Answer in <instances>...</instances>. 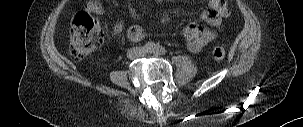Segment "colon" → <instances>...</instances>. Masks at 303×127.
I'll list each match as a JSON object with an SVG mask.
<instances>
[{
	"label": "colon",
	"instance_id": "obj_1",
	"mask_svg": "<svg viewBox=\"0 0 303 127\" xmlns=\"http://www.w3.org/2000/svg\"><path fill=\"white\" fill-rule=\"evenodd\" d=\"M103 41V33L98 21L86 12L77 13L71 24L70 44L75 57H84L98 49ZM212 57L221 61L225 57V50L215 47Z\"/></svg>",
	"mask_w": 303,
	"mask_h": 127
}]
</instances>
